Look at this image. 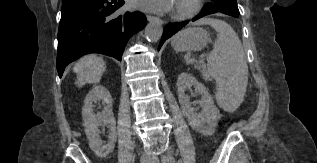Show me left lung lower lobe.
I'll use <instances>...</instances> for the list:
<instances>
[{"instance_id": "0a47b994", "label": "left lung lower lobe", "mask_w": 317, "mask_h": 163, "mask_svg": "<svg viewBox=\"0 0 317 163\" xmlns=\"http://www.w3.org/2000/svg\"><path fill=\"white\" fill-rule=\"evenodd\" d=\"M213 13H216L214 11H207V10H202L201 13L194 17L192 19V21H195L201 17H204L206 15H209V14H213ZM225 14V13H224ZM227 15H230V16H233V17H238V16H235V15H231V14H227ZM189 23V21H184V22H181V23H169L165 26V29H164V32H163V36L161 38V41H160V44H159V47H158V50L161 48V46L163 45V43L165 42V40H167L168 38H170L172 35H174L177 31H179L180 29H182L185 25H187Z\"/></svg>"}]
</instances>
